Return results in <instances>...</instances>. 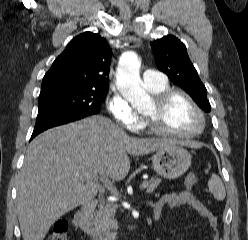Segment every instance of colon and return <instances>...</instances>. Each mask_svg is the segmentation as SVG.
I'll return each mask as SVG.
<instances>
[{
  "label": "colon",
  "mask_w": 248,
  "mask_h": 240,
  "mask_svg": "<svg viewBox=\"0 0 248 240\" xmlns=\"http://www.w3.org/2000/svg\"><path fill=\"white\" fill-rule=\"evenodd\" d=\"M197 183V177L195 174L190 173L185 178V188L186 190H191ZM68 223L65 220L57 221L53 229L47 238V240H67Z\"/></svg>",
  "instance_id": "obj_1"
}]
</instances>
